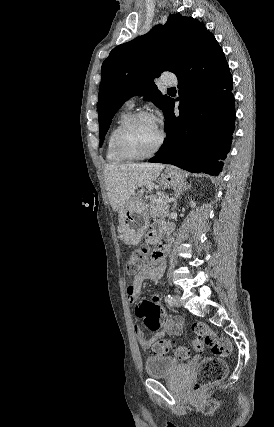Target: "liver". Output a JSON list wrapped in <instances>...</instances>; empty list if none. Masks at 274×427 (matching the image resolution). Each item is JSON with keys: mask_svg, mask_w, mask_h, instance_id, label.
Segmentation results:
<instances>
[{"mask_svg": "<svg viewBox=\"0 0 274 427\" xmlns=\"http://www.w3.org/2000/svg\"><path fill=\"white\" fill-rule=\"evenodd\" d=\"M164 168L163 164H107L103 174L112 210L118 212L123 206H129L136 190L152 184Z\"/></svg>", "mask_w": 274, "mask_h": 427, "instance_id": "obj_1", "label": "liver"}]
</instances>
